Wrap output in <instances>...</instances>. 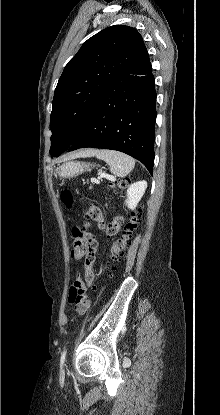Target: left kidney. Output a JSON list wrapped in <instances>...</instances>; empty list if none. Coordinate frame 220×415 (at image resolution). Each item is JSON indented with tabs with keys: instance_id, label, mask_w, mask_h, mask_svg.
<instances>
[{
	"instance_id": "5707ae66",
	"label": "left kidney",
	"mask_w": 220,
	"mask_h": 415,
	"mask_svg": "<svg viewBox=\"0 0 220 415\" xmlns=\"http://www.w3.org/2000/svg\"><path fill=\"white\" fill-rule=\"evenodd\" d=\"M147 188L146 181L133 183L127 190L126 205L129 209L134 210L141 200Z\"/></svg>"
}]
</instances>
